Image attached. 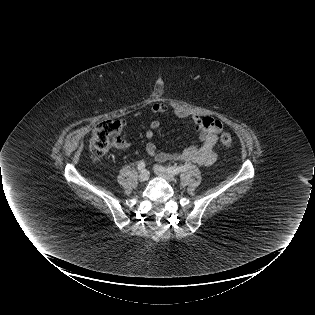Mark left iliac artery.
<instances>
[{
	"mask_svg": "<svg viewBox=\"0 0 315 315\" xmlns=\"http://www.w3.org/2000/svg\"><path fill=\"white\" fill-rule=\"evenodd\" d=\"M157 167H161V166H157ZM190 168V165H183V166H178V167H173V166H169V167H167V170L171 173V174H173V175H177V174H179V173H181V172H184V171H186L187 169H189Z\"/></svg>",
	"mask_w": 315,
	"mask_h": 315,
	"instance_id": "1",
	"label": "left iliac artery"
}]
</instances>
